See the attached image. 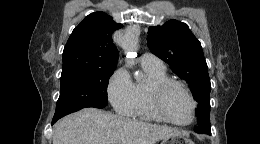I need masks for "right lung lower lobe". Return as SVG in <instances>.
<instances>
[{
    "label": "right lung lower lobe",
    "mask_w": 260,
    "mask_h": 144,
    "mask_svg": "<svg viewBox=\"0 0 260 144\" xmlns=\"http://www.w3.org/2000/svg\"><path fill=\"white\" fill-rule=\"evenodd\" d=\"M54 122H56V120H52V124H53Z\"/></svg>",
    "instance_id": "98d812e1"
}]
</instances>
